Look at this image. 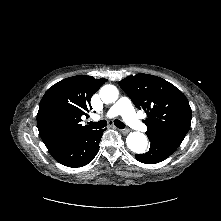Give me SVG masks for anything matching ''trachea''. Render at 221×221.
Here are the masks:
<instances>
[{
    "instance_id": "1",
    "label": "trachea",
    "mask_w": 221,
    "mask_h": 221,
    "mask_svg": "<svg viewBox=\"0 0 221 221\" xmlns=\"http://www.w3.org/2000/svg\"><path fill=\"white\" fill-rule=\"evenodd\" d=\"M88 124L94 129H101L107 125V122L105 120H102L99 122H89ZM114 124L120 129H124L126 127V125L120 120H114Z\"/></svg>"
}]
</instances>
